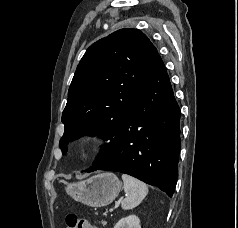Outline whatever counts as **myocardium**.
Segmentation results:
<instances>
[{
	"label": "myocardium",
	"instance_id": "1",
	"mask_svg": "<svg viewBox=\"0 0 238 228\" xmlns=\"http://www.w3.org/2000/svg\"><path fill=\"white\" fill-rule=\"evenodd\" d=\"M101 138L98 135H92L86 137L80 145V150L82 153H90L94 151L100 144Z\"/></svg>",
	"mask_w": 238,
	"mask_h": 228
}]
</instances>
